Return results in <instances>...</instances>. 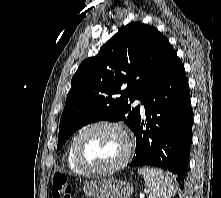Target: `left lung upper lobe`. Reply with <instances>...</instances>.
Masks as SVG:
<instances>
[{"instance_id": "1", "label": "left lung upper lobe", "mask_w": 221, "mask_h": 198, "mask_svg": "<svg viewBox=\"0 0 221 198\" xmlns=\"http://www.w3.org/2000/svg\"><path fill=\"white\" fill-rule=\"evenodd\" d=\"M174 53L156 28L139 22L122 27L74 74L60 119L57 149L77 129L98 120H123L133 131L140 107L131 109L129 102H143Z\"/></svg>"}]
</instances>
